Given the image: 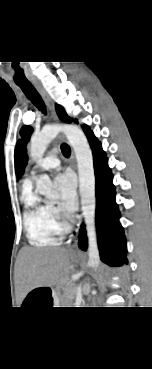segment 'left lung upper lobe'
<instances>
[{
    "mask_svg": "<svg viewBox=\"0 0 152 369\" xmlns=\"http://www.w3.org/2000/svg\"><path fill=\"white\" fill-rule=\"evenodd\" d=\"M56 111L59 116V118L65 122H72L74 121L77 123L76 120H73L70 118L63 107L60 105H56ZM32 133V128L29 126H25L20 130V135L22 137V140H19L15 149V168H16V174L18 176H21L23 174L24 167L27 163V154L25 149V144L29 140L30 135Z\"/></svg>",
    "mask_w": 152,
    "mask_h": 369,
    "instance_id": "1",
    "label": "left lung upper lobe"
}]
</instances>
